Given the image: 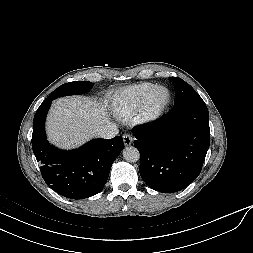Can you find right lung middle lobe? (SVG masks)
<instances>
[{
  "instance_id": "1",
  "label": "right lung middle lobe",
  "mask_w": 253,
  "mask_h": 253,
  "mask_svg": "<svg viewBox=\"0 0 253 253\" xmlns=\"http://www.w3.org/2000/svg\"><path fill=\"white\" fill-rule=\"evenodd\" d=\"M93 86L92 82L88 81H75L70 83H65L59 86L56 90H54L48 98L56 99L58 97H62L65 95H77L84 93L91 89Z\"/></svg>"
}]
</instances>
